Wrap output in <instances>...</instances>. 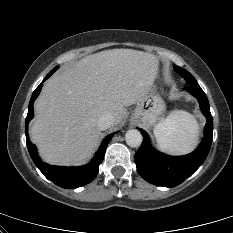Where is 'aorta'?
<instances>
[{"mask_svg": "<svg viewBox=\"0 0 233 233\" xmlns=\"http://www.w3.org/2000/svg\"><path fill=\"white\" fill-rule=\"evenodd\" d=\"M125 140L130 147H139L142 143V135L136 129H130L125 134Z\"/></svg>", "mask_w": 233, "mask_h": 233, "instance_id": "obj_1", "label": "aorta"}]
</instances>
